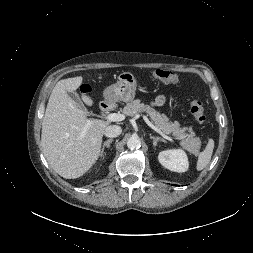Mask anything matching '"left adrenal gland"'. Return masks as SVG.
Listing matches in <instances>:
<instances>
[{"instance_id":"a2214340","label":"left adrenal gland","mask_w":253,"mask_h":253,"mask_svg":"<svg viewBox=\"0 0 253 253\" xmlns=\"http://www.w3.org/2000/svg\"><path fill=\"white\" fill-rule=\"evenodd\" d=\"M150 139L153 140V146H154V147L157 146V142H159V141L166 143V140H164L163 138L154 137V136H152L151 134H150Z\"/></svg>"}]
</instances>
